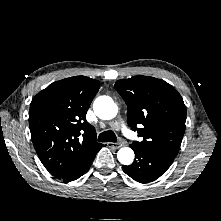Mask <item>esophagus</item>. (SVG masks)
<instances>
[{
    "label": "esophagus",
    "instance_id": "esophagus-1",
    "mask_svg": "<svg viewBox=\"0 0 221 221\" xmlns=\"http://www.w3.org/2000/svg\"><path fill=\"white\" fill-rule=\"evenodd\" d=\"M107 145H108V147H112L114 149H119L123 146V144H121V143H111V142L107 143Z\"/></svg>",
    "mask_w": 221,
    "mask_h": 221
}]
</instances>
